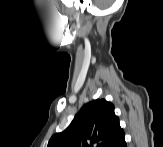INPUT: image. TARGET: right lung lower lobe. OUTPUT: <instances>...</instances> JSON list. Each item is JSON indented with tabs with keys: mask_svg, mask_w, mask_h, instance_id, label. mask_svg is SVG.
Listing matches in <instances>:
<instances>
[{
	"mask_svg": "<svg viewBox=\"0 0 163 147\" xmlns=\"http://www.w3.org/2000/svg\"><path fill=\"white\" fill-rule=\"evenodd\" d=\"M112 147H126L125 135H123Z\"/></svg>",
	"mask_w": 163,
	"mask_h": 147,
	"instance_id": "1",
	"label": "right lung lower lobe"
}]
</instances>
